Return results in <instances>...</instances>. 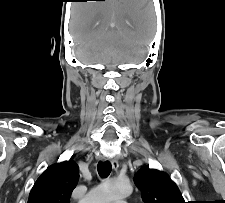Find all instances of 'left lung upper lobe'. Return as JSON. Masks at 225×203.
Masks as SVG:
<instances>
[{
	"label": "left lung upper lobe",
	"mask_w": 225,
	"mask_h": 203,
	"mask_svg": "<svg viewBox=\"0 0 225 203\" xmlns=\"http://www.w3.org/2000/svg\"><path fill=\"white\" fill-rule=\"evenodd\" d=\"M144 203H185L178 187L163 172L142 167L134 177Z\"/></svg>",
	"instance_id": "5c2ea615"
}]
</instances>
